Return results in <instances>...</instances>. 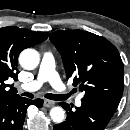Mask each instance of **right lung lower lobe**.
Instances as JSON below:
<instances>
[{"mask_svg":"<svg viewBox=\"0 0 130 130\" xmlns=\"http://www.w3.org/2000/svg\"><path fill=\"white\" fill-rule=\"evenodd\" d=\"M30 105L41 108L43 100H30L19 95L0 98V130H22Z\"/></svg>","mask_w":130,"mask_h":130,"instance_id":"obj_1","label":"right lung lower lobe"}]
</instances>
